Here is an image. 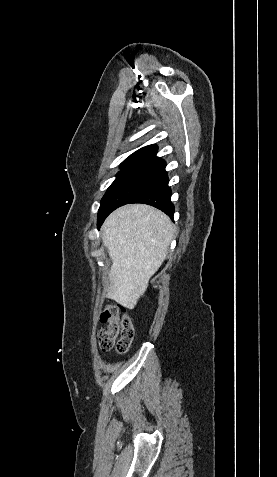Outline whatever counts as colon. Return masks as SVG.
Listing matches in <instances>:
<instances>
[{
	"label": "colon",
	"instance_id": "5ec220e1",
	"mask_svg": "<svg viewBox=\"0 0 277 477\" xmlns=\"http://www.w3.org/2000/svg\"><path fill=\"white\" fill-rule=\"evenodd\" d=\"M100 322L107 327L98 333L99 346L106 351L115 347L119 354L126 353L134 338V327L125 308L119 304L106 306L100 315Z\"/></svg>",
	"mask_w": 277,
	"mask_h": 477
}]
</instances>
